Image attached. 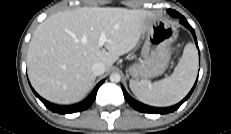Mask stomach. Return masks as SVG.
Here are the masks:
<instances>
[{
    "mask_svg": "<svg viewBox=\"0 0 231 134\" xmlns=\"http://www.w3.org/2000/svg\"><path fill=\"white\" fill-rule=\"evenodd\" d=\"M143 36L141 58L128 68L134 79H148L164 73L171 58V44L178 32L172 23L150 16L145 21Z\"/></svg>",
    "mask_w": 231,
    "mask_h": 134,
    "instance_id": "0dacf381",
    "label": "stomach"
}]
</instances>
